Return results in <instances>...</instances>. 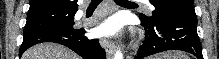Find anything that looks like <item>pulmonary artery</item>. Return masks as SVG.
<instances>
[{
	"mask_svg": "<svg viewBox=\"0 0 219 59\" xmlns=\"http://www.w3.org/2000/svg\"><path fill=\"white\" fill-rule=\"evenodd\" d=\"M140 2H144V3H146V4H149V2H148V1H140Z\"/></svg>",
	"mask_w": 219,
	"mask_h": 59,
	"instance_id": "e3ab8cb5",
	"label": "pulmonary artery"
}]
</instances>
